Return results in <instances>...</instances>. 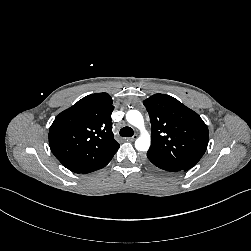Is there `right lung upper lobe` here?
Here are the masks:
<instances>
[{"label": "right lung upper lobe", "instance_id": "cb5924a9", "mask_svg": "<svg viewBox=\"0 0 251 251\" xmlns=\"http://www.w3.org/2000/svg\"><path fill=\"white\" fill-rule=\"evenodd\" d=\"M112 98L107 93L88 95L61 112L49 130L55 157L75 173L106 166L119 148L112 132Z\"/></svg>", "mask_w": 251, "mask_h": 251}]
</instances>
